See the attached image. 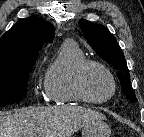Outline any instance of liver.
<instances>
[{"mask_svg": "<svg viewBox=\"0 0 144 137\" xmlns=\"http://www.w3.org/2000/svg\"><path fill=\"white\" fill-rule=\"evenodd\" d=\"M106 120L80 106L25 107L0 113V137H71L81 127Z\"/></svg>", "mask_w": 144, "mask_h": 137, "instance_id": "liver-1", "label": "liver"}]
</instances>
